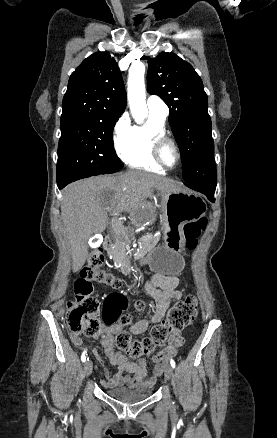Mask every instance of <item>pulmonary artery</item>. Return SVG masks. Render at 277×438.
<instances>
[{
	"instance_id": "obj_1",
	"label": "pulmonary artery",
	"mask_w": 277,
	"mask_h": 438,
	"mask_svg": "<svg viewBox=\"0 0 277 438\" xmlns=\"http://www.w3.org/2000/svg\"><path fill=\"white\" fill-rule=\"evenodd\" d=\"M143 108L148 114L161 120H166L169 115V108L162 102L160 95H149L143 103Z\"/></svg>"
}]
</instances>
